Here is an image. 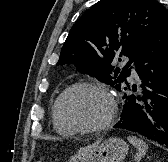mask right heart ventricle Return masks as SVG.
Masks as SVG:
<instances>
[{"label": "right heart ventricle", "mask_w": 168, "mask_h": 162, "mask_svg": "<svg viewBox=\"0 0 168 162\" xmlns=\"http://www.w3.org/2000/svg\"><path fill=\"white\" fill-rule=\"evenodd\" d=\"M56 101H57V99L53 103L52 110H51V118H52L53 126H54L55 130L57 131V133H59L60 135H63V136L71 135V134H73L74 131L65 127L57 118Z\"/></svg>", "instance_id": "obj_1"}]
</instances>
